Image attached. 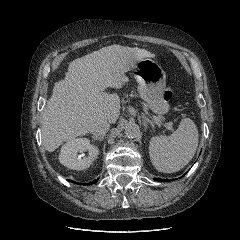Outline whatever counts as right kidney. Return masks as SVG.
<instances>
[{"label": "right kidney", "instance_id": "right-kidney-1", "mask_svg": "<svg viewBox=\"0 0 240 240\" xmlns=\"http://www.w3.org/2000/svg\"><path fill=\"white\" fill-rule=\"evenodd\" d=\"M89 151L87 157L80 158L77 153ZM99 149L92 145L87 138H76L65 143L59 154V161L62 165L73 169L83 170L88 167L97 159Z\"/></svg>", "mask_w": 240, "mask_h": 240}]
</instances>
